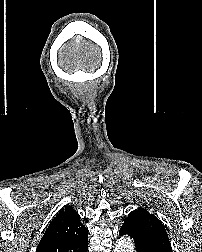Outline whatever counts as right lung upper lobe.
I'll list each match as a JSON object with an SVG mask.
<instances>
[{
	"instance_id": "1",
	"label": "right lung upper lobe",
	"mask_w": 202,
	"mask_h": 252,
	"mask_svg": "<svg viewBox=\"0 0 202 252\" xmlns=\"http://www.w3.org/2000/svg\"><path fill=\"white\" fill-rule=\"evenodd\" d=\"M88 229L72 206L60 211L50 222L36 252H85Z\"/></svg>"
}]
</instances>
